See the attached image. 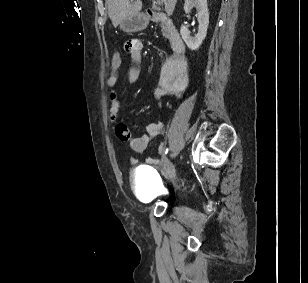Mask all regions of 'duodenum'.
Instances as JSON below:
<instances>
[{
	"label": "duodenum",
	"instance_id": "1",
	"mask_svg": "<svg viewBox=\"0 0 308 283\" xmlns=\"http://www.w3.org/2000/svg\"><path fill=\"white\" fill-rule=\"evenodd\" d=\"M146 17L149 21L162 22L166 25L169 33L170 44L176 56L175 59L182 60L181 55L185 51V43L174 23L164 14L154 9H148L146 11Z\"/></svg>",
	"mask_w": 308,
	"mask_h": 283
}]
</instances>
